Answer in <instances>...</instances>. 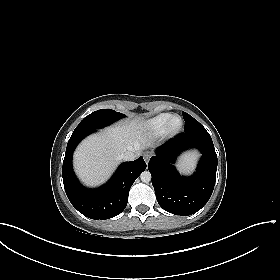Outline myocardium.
I'll return each instance as SVG.
<instances>
[{
    "label": "myocardium",
    "instance_id": "myocardium-1",
    "mask_svg": "<svg viewBox=\"0 0 280 280\" xmlns=\"http://www.w3.org/2000/svg\"><path fill=\"white\" fill-rule=\"evenodd\" d=\"M175 118H178L180 120V125L177 128H173L172 125H171L173 119H175ZM183 127H184V120H183V118L181 116L177 115V114H174L167 121V123L165 125V128H164L163 134L166 137L177 136L178 134L181 133V131L183 130Z\"/></svg>",
    "mask_w": 280,
    "mask_h": 280
}]
</instances>
